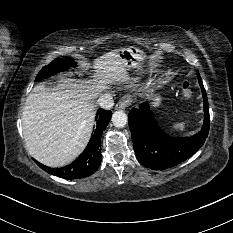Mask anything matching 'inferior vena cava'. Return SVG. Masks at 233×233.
I'll return each mask as SVG.
<instances>
[{"label":"inferior vena cava","mask_w":233,"mask_h":233,"mask_svg":"<svg viewBox=\"0 0 233 233\" xmlns=\"http://www.w3.org/2000/svg\"><path fill=\"white\" fill-rule=\"evenodd\" d=\"M97 104L103 109H110L114 105L113 98L109 94H104L99 97Z\"/></svg>","instance_id":"602c4592"}]
</instances>
